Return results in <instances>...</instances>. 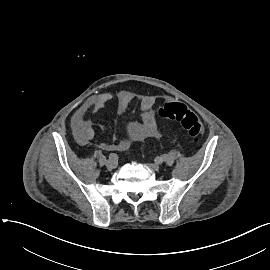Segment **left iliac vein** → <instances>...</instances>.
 Returning <instances> with one entry per match:
<instances>
[{
  "label": "left iliac vein",
  "instance_id": "left-iliac-vein-1",
  "mask_svg": "<svg viewBox=\"0 0 270 270\" xmlns=\"http://www.w3.org/2000/svg\"><path fill=\"white\" fill-rule=\"evenodd\" d=\"M148 166H149L152 170H155V171L159 170V168H160L159 164H153V163H150V164H148Z\"/></svg>",
  "mask_w": 270,
  "mask_h": 270
}]
</instances>
